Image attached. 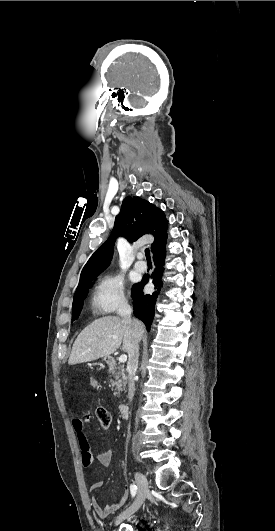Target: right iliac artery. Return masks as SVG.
<instances>
[{
  "label": "right iliac artery",
  "instance_id": "obj_1",
  "mask_svg": "<svg viewBox=\"0 0 275 531\" xmlns=\"http://www.w3.org/2000/svg\"><path fill=\"white\" fill-rule=\"evenodd\" d=\"M130 490H131L132 497H134L136 495V492H137V486L134 485V484H131L130 485Z\"/></svg>",
  "mask_w": 275,
  "mask_h": 531
}]
</instances>
